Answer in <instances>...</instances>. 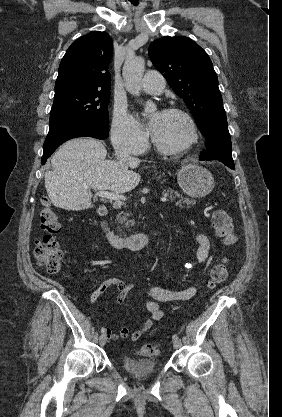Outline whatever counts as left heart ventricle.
<instances>
[{"instance_id":"obj_1","label":"left heart ventricle","mask_w":282,"mask_h":417,"mask_svg":"<svg viewBox=\"0 0 282 417\" xmlns=\"http://www.w3.org/2000/svg\"><path fill=\"white\" fill-rule=\"evenodd\" d=\"M151 118L156 121L153 132L164 144L178 145L187 140L189 130L181 117L153 111Z\"/></svg>"}]
</instances>
